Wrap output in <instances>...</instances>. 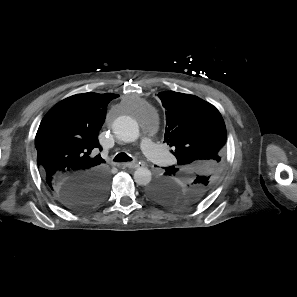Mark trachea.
<instances>
[{
  "mask_svg": "<svg viewBox=\"0 0 297 297\" xmlns=\"http://www.w3.org/2000/svg\"><path fill=\"white\" fill-rule=\"evenodd\" d=\"M132 160L133 159L124 152L118 153L115 156V158L113 159V161H115V162H128V161H132Z\"/></svg>",
  "mask_w": 297,
  "mask_h": 297,
  "instance_id": "3493384b",
  "label": "trachea"
}]
</instances>
